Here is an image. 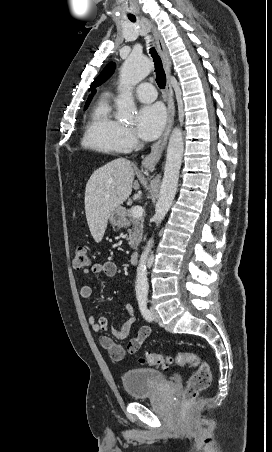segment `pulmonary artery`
Instances as JSON below:
<instances>
[{
    "label": "pulmonary artery",
    "mask_w": 272,
    "mask_h": 452,
    "mask_svg": "<svg viewBox=\"0 0 272 452\" xmlns=\"http://www.w3.org/2000/svg\"><path fill=\"white\" fill-rule=\"evenodd\" d=\"M135 93L138 100L144 103L153 102L157 97L155 87L148 82L139 84L136 87Z\"/></svg>",
    "instance_id": "obj_1"
}]
</instances>
